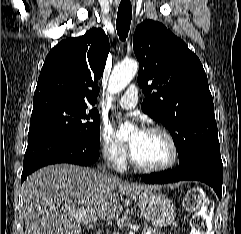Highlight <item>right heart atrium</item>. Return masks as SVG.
<instances>
[{"instance_id": "right-heart-atrium-1", "label": "right heart atrium", "mask_w": 241, "mask_h": 234, "mask_svg": "<svg viewBox=\"0 0 241 234\" xmlns=\"http://www.w3.org/2000/svg\"><path fill=\"white\" fill-rule=\"evenodd\" d=\"M99 150L104 160L115 168L121 169L125 166L128 147L117 139L108 126H102L99 131Z\"/></svg>"}]
</instances>
